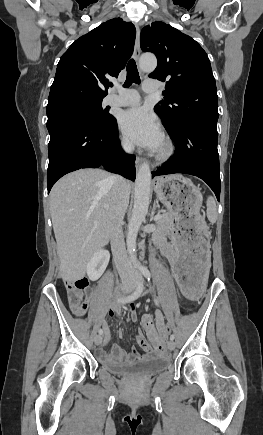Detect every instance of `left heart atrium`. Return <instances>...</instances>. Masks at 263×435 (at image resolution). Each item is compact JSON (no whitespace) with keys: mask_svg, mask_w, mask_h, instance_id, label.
Here are the masks:
<instances>
[{"mask_svg":"<svg viewBox=\"0 0 263 435\" xmlns=\"http://www.w3.org/2000/svg\"><path fill=\"white\" fill-rule=\"evenodd\" d=\"M120 127L130 142L147 149L157 150L163 142V133L157 119L142 107L124 111Z\"/></svg>","mask_w":263,"mask_h":435,"instance_id":"obj_1","label":"left heart atrium"}]
</instances>
